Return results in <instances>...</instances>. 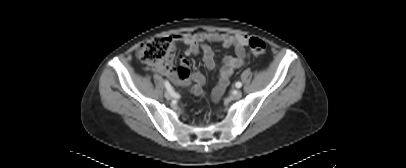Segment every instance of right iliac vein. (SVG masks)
<instances>
[{"instance_id":"63e3f726","label":"right iliac vein","mask_w":406,"mask_h":168,"mask_svg":"<svg viewBox=\"0 0 406 168\" xmlns=\"http://www.w3.org/2000/svg\"><path fill=\"white\" fill-rule=\"evenodd\" d=\"M164 96H165V98L168 99V100L172 99V95H171L168 91H166V92L164 93Z\"/></svg>"}]
</instances>
